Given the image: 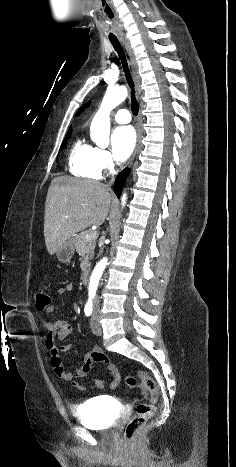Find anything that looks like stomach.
<instances>
[{"label": "stomach", "mask_w": 236, "mask_h": 467, "mask_svg": "<svg viewBox=\"0 0 236 467\" xmlns=\"http://www.w3.org/2000/svg\"><path fill=\"white\" fill-rule=\"evenodd\" d=\"M74 245L72 240L64 242L56 251L58 260L62 263L69 262L74 255Z\"/></svg>", "instance_id": "1"}]
</instances>
